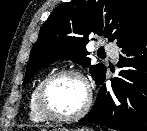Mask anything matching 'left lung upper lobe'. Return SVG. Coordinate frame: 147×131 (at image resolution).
<instances>
[{"label":"left lung upper lobe","mask_w":147,"mask_h":131,"mask_svg":"<svg viewBox=\"0 0 147 131\" xmlns=\"http://www.w3.org/2000/svg\"><path fill=\"white\" fill-rule=\"evenodd\" d=\"M147 28V0H71L59 5L40 29L23 85L42 67L72 59L89 67L97 85L105 79L102 63L90 66L86 50L96 35L121 46Z\"/></svg>","instance_id":"obj_1"}]
</instances>
